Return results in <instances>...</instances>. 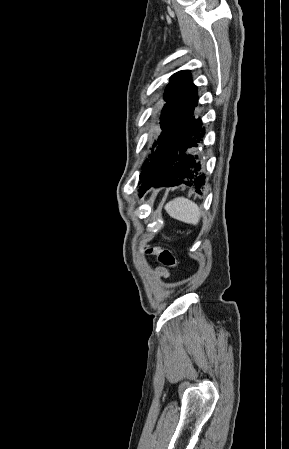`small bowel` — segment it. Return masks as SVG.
Returning a JSON list of instances; mask_svg holds the SVG:
<instances>
[{"label": "small bowel", "instance_id": "c3829d8e", "mask_svg": "<svg viewBox=\"0 0 289 449\" xmlns=\"http://www.w3.org/2000/svg\"><path fill=\"white\" fill-rule=\"evenodd\" d=\"M155 273L163 278H167L169 276L167 269L164 267H157Z\"/></svg>", "mask_w": 289, "mask_h": 449}]
</instances>
